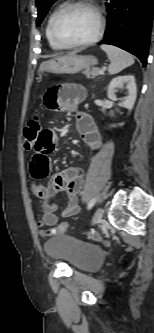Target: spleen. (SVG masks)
<instances>
[{"mask_svg":"<svg viewBox=\"0 0 154 333\" xmlns=\"http://www.w3.org/2000/svg\"><path fill=\"white\" fill-rule=\"evenodd\" d=\"M101 49L107 54L110 60L108 71L111 75L117 74L134 64L133 56L118 47L101 45Z\"/></svg>","mask_w":154,"mask_h":333,"instance_id":"obj_1","label":"spleen"}]
</instances>
